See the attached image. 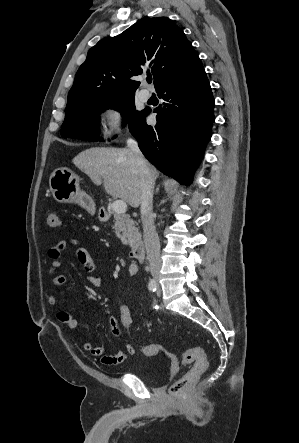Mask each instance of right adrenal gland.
Returning <instances> with one entry per match:
<instances>
[{
	"label": "right adrenal gland",
	"mask_w": 299,
	"mask_h": 443,
	"mask_svg": "<svg viewBox=\"0 0 299 443\" xmlns=\"http://www.w3.org/2000/svg\"><path fill=\"white\" fill-rule=\"evenodd\" d=\"M159 191V188H157V191L156 192H158Z\"/></svg>",
	"instance_id": "2a0ac1e0"
}]
</instances>
